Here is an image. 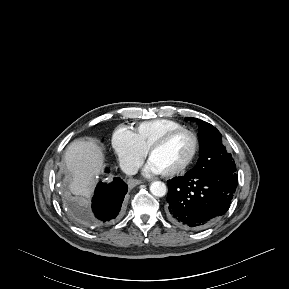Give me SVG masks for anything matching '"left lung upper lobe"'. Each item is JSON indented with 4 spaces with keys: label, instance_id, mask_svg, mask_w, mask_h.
<instances>
[{
    "label": "left lung upper lobe",
    "instance_id": "5c2ea615",
    "mask_svg": "<svg viewBox=\"0 0 289 289\" xmlns=\"http://www.w3.org/2000/svg\"><path fill=\"white\" fill-rule=\"evenodd\" d=\"M199 125L200 157L193 171L211 169L217 165H228L232 170H236L231 160V154L226 151L222 144L220 132L211 124L197 118H186Z\"/></svg>",
    "mask_w": 289,
    "mask_h": 289
}]
</instances>
